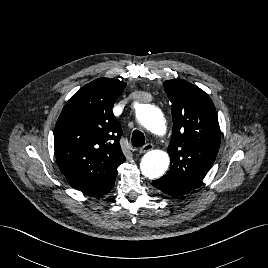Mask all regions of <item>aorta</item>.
Listing matches in <instances>:
<instances>
[{
	"instance_id": "762f6f07",
	"label": "aorta",
	"mask_w": 268,
	"mask_h": 268,
	"mask_svg": "<svg viewBox=\"0 0 268 268\" xmlns=\"http://www.w3.org/2000/svg\"><path fill=\"white\" fill-rule=\"evenodd\" d=\"M138 122L155 135H164L166 132L165 118L161 110L153 105H142L136 112ZM170 158L162 150L147 152L141 160V173L149 179L160 178L168 169Z\"/></svg>"
}]
</instances>
